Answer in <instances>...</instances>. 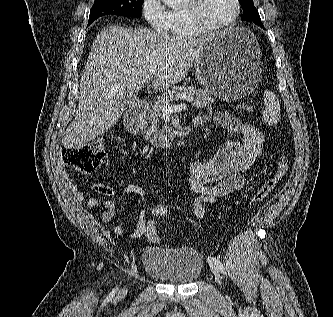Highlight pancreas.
I'll return each instance as SVG.
<instances>
[{
	"label": "pancreas",
	"instance_id": "1",
	"mask_svg": "<svg viewBox=\"0 0 333 317\" xmlns=\"http://www.w3.org/2000/svg\"><path fill=\"white\" fill-rule=\"evenodd\" d=\"M194 97L192 106L196 108H203L211 105L214 100L210 97L209 93L201 88L194 86L182 85L174 87L172 92L163 94L157 103L151 106L148 112V120L150 125L144 129L146 139H150L156 146L167 145L174 139V134L166 123H162L163 114L161 107L168 105L170 101L177 100L178 96Z\"/></svg>",
	"mask_w": 333,
	"mask_h": 317
}]
</instances>
